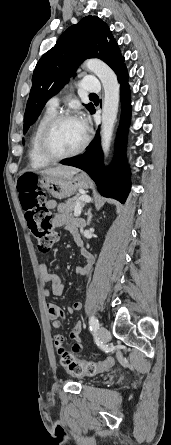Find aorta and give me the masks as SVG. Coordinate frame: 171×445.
Wrapping results in <instances>:
<instances>
[{"label":"aorta","instance_id":"aorta-1","mask_svg":"<svg viewBox=\"0 0 171 445\" xmlns=\"http://www.w3.org/2000/svg\"><path fill=\"white\" fill-rule=\"evenodd\" d=\"M85 67L93 72L101 81L104 89L102 103L101 145L107 157L119 106V83L114 71L98 59H89Z\"/></svg>","mask_w":171,"mask_h":445}]
</instances>
